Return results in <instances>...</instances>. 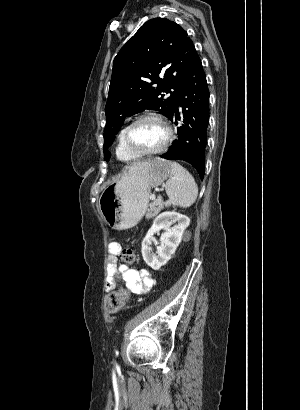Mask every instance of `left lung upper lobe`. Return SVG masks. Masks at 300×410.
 <instances>
[{"label": "left lung upper lobe", "instance_id": "5c2ea615", "mask_svg": "<svg viewBox=\"0 0 300 410\" xmlns=\"http://www.w3.org/2000/svg\"><path fill=\"white\" fill-rule=\"evenodd\" d=\"M197 56L186 31L165 18L147 21L121 48L113 61L105 107V160L125 117L151 109L170 118L178 88Z\"/></svg>", "mask_w": 300, "mask_h": 410}]
</instances>
